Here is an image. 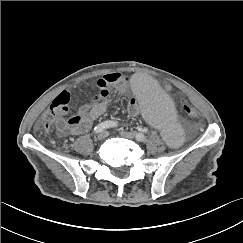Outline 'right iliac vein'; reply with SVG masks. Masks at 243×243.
Returning a JSON list of instances; mask_svg holds the SVG:
<instances>
[{"instance_id":"obj_1","label":"right iliac vein","mask_w":243,"mask_h":243,"mask_svg":"<svg viewBox=\"0 0 243 243\" xmlns=\"http://www.w3.org/2000/svg\"><path fill=\"white\" fill-rule=\"evenodd\" d=\"M108 135H109V133H108L107 131H102V132H100V133L98 134L97 138H98L99 140H103V139H105Z\"/></svg>"}]
</instances>
